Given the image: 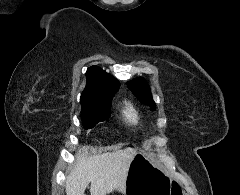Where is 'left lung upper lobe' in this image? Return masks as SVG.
<instances>
[{
    "instance_id": "obj_1",
    "label": "left lung upper lobe",
    "mask_w": 240,
    "mask_h": 195,
    "mask_svg": "<svg viewBox=\"0 0 240 195\" xmlns=\"http://www.w3.org/2000/svg\"><path fill=\"white\" fill-rule=\"evenodd\" d=\"M131 92L142 102L150 106L152 110L156 109V104L152 99L150 87L143 78H136L127 82Z\"/></svg>"
}]
</instances>
